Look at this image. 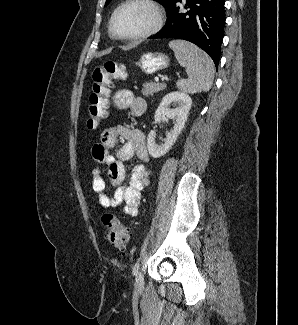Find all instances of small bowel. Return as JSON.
Wrapping results in <instances>:
<instances>
[{"label": "small bowel", "mask_w": 298, "mask_h": 325, "mask_svg": "<svg viewBox=\"0 0 298 325\" xmlns=\"http://www.w3.org/2000/svg\"><path fill=\"white\" fill-rule=\"evenodd\" d=\"M114 106L118 109H129L133 116H140L146 109L142 99L135 98L127 89H121L113 95ZM126 140L116 155L109 150L116 146L118 140ZM92 157L96 166L92 170V187L98 194L99 204L103 208L122 206L125 214L135 216L141 202V192L149 184L150 174L147 168L148 150L144 133L139 129L125 126H113L102 131L100 142L92 147ZM135 158L129 181L124 184L125 169L123 162ZM106 174L115 188L112 195L105 193L106 183L103 175Z\"/></svg>", "instance_id": "small-bowel-1"}]
</instances>
